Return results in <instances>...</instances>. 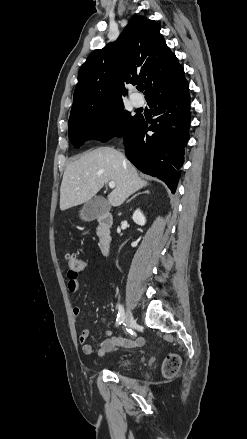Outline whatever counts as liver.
<instances>
[{"label":"liver","mask_w":247,"mask_h":439,"mask_svg":"<svg viewBox=\"0 0 247 439\" xmlns=\"http://www.w3.org/2000/svg\"><path fill=\"white\" fill-rule=\"evenodd\" d=\"M108 182L116 185L107 197L114 207L148 185L124 154L112 147H99L66 167L60 188V209L64 211L88 202Z\"/></svg>","instance_id":"obj_1"}]
</instances>
